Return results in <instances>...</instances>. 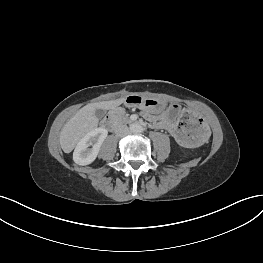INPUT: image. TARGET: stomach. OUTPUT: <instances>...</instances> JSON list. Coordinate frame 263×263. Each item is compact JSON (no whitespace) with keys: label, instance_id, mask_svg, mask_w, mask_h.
Returning <instances> with one entry per match:
<instances>
[{"label":"stomach","instance_id":"1","mask_svg":"<svg viewBox=\"0 0 263 263\" xmlns=\"http://www.w3.org/2000/svg\"><path fill=\"white\" fill-rule=\"evenodd\" d=\"M125 105L151 112L160 111L161 124L175 132L178 142L186 148L199 146L207 138V131L201 116L190 111L183 104L163 105L156 99L130 95L125 99Z\"/></svg>","mask_w":263,"mask_h":263}]
</instances>
